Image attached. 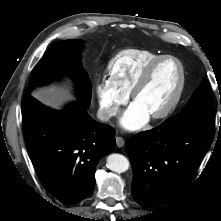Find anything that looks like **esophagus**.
I'll return each mask as SVG.
<instances>
[{
	"instance_id": "34e87169",
	"label": "esophagus",
	"mask_w": 221,
	"mask_h": 221,
	"mask_svg": "<svg viewBox=\"0 0 221 221\" xmlns=\"http://www.w3.org/2000/svg\"><path fill=\"white\" fill-rule=\"evenodd\" d=\"M124 144H125L124 139H123L122 137L117 136V137H116V145H117L119 148H121V147L124 146Z\"/></svg>"
}]
</instances>
